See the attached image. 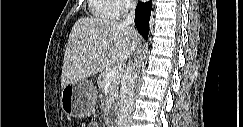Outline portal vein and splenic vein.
Segmentation results:
<instances>
[{
	"label": "portal vein and splenic vein",
	"mask_w": 243,
	"mask_h": 127,
	"mask_svg": "<svg viewBox=\"0 0 243 127\" xmlns=\"http://www.w3.org/2000/svg\"><path fill=\"white\" fill-rule=\"evenodd\" d=\"M120 76V68H113L109 72H107L104 83L106 85H109L111 82H113L115 79H118Z\"/></svg>",
	"instance_id": "obj_1"
}]
</instances>
